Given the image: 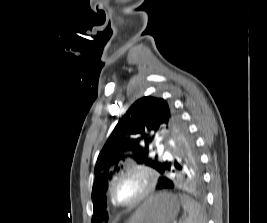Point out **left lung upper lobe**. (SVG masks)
I'll use <instances>...</instances> for the list:
<instances>
[{
    "instance_id": "obj_1",
    "label": "left lung upper lobe",
    "mask_w": 267,
    "mask_h": 223,
    "mask_svg": "<svg viewBox=\"0 0 267 223\" xmlns=\"http://www.w3.org/2000/svg\"><path fill=\"white\" fill-rule=\"evenodd\" d=\"M163 136L174 150L171 159L162 161L150 157L149 144L156 136ZM138 164H145L159 173L169 171H201L194 140L173 106L162 98L151 96L137 100L119 120L101 150L94 173L92 190L93 219H107L105 192L112 176L120 170L122 161L129 156ZM95 222V221H93Z\"/></svg>"
}]
</instances>
